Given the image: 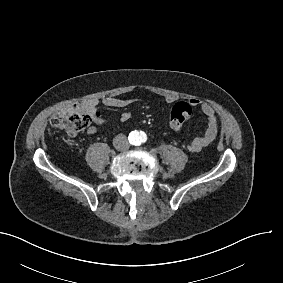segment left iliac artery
Wrapping results in <instances>:
<instances>
[{
    "label": "left iliac artery",
    "instance_id": "44dca946",
    "mask_svg": "<svg viewBox=\"0 0 283 283\" xmlns=\"http://www.w3.org/2000/svg\"><path fill=\"white\" fill-rule=\"evenodd\" d=\"M141 136L147 138L146 134L144 132H141Z\"/></svg>",
    "mask_w": 283,
    "mask_h": 283
}]
</instances>
